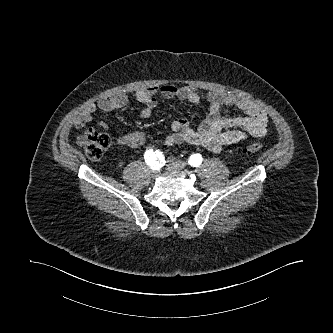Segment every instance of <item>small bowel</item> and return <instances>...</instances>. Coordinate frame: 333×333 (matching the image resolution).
I'll return each mask as SVG.
<instances>
[{"instance_id": "small-bowel-1", "label": "small bowel", "mask_w": 333, "mask_h": 333, "mask_svg": "<svg viewBox=\"0 0 333 333\" xmlns=\"http://www.w3.org/2000/svg\"><path fill=\"white\" fill-rule=\"evenodd\" d=\"M157 94L166 99H179L200 105L206 103L208 113L203 123L193 128L189 120L182 118L171 123V133L166 137L167 146L189 143L213 152H219L224 147L246 140L248 137L262 138L267 135L268 118L266 112L253 101L232 93L212 92L203 95L190 86L164 84L138 89L136 99L143 104L140 112L142 119L149 118L157 105ZM128 97L124 93L103 97L92 103L79 116L73 125L77 128L85 126L93 119L97 109L111 112L124 107ZM226 106H234L243 112L241 116L226 117L221 114ZM145 142V136L140 131L129 132L117 136L114 144L117 147L137 149Z\"/></svg>"}]
</instances>
